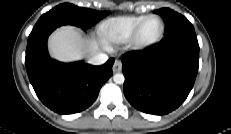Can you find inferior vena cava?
<instances>
[{
    "instance_id": "602c4592",
    "label": "inferior vena cava",
    "mask_w": 231,
    "mask_h": 134,
    "mask_svg": "<svg viewBox=\"0 0 231 134\" xmlns=\"http://www.w3.org/2000/svg\"><path fill=\"white\" fill-rule=\"evenodd\" d=\"M108 60V56L104 53H96L90 59L89 63L92 65H102Z\"/></svg>"
}]
</instances>
